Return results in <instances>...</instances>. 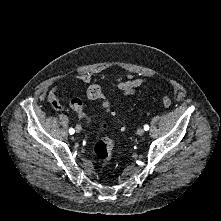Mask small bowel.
<instances>
[{
    "label": "small bowel",
    "instance_id": "obj_1",
    "mask_svg": "<svg viewBox=\"0 0 221 221\" xmlns=\"http://www.w3.org/2000/svg\"><path fill=\"white\" fill-rule=\"evenodd\" d=\"M76 81L89 84L93 80V76L90 73H85L75 78ZM146 82V79L129 74L125 78H115L112 81V86L119 89L124 96L133 95L137 88L143 85ZM48 102L57 110L62 109L60 98L55 89L51 90L48 94Z\"/></svg>",
    "mask_w": 221,
    "mask_h": 221
}]
</instances>
